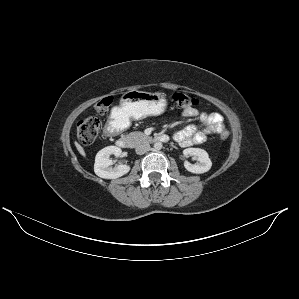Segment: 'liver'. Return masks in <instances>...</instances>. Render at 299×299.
<instances>
[{
  "instance_id": "obj_1",
  "label": "liver",
  "mask_w": 299,
  "mask_h": 299,
  "mask_svg": "<svg viewBox=\"0 0 299 299\" xmlns=\"http://www.w3.org/2000/svg\"><path fill=\"white\" fill-rule=\"evenodd\" d=\"M75 146H76L78 152H79L83 157H86V153H85L83 147H82L78 142H75Z\"/></svg>"
}]
</instances>
